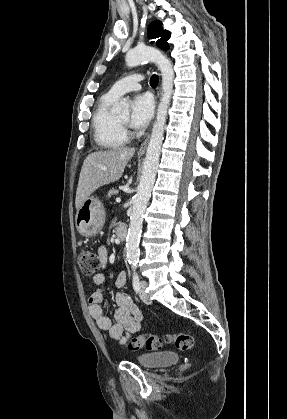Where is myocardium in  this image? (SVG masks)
Wrapping results in <instances>:
<instances>
[{"label": "myocardium", "instance_id": "obj_1", "mask_svg": "<svg viewBox=\"0 0 287 419\" xmlns=\"http://www.w3.org/2000/svg\"><path fill=\"white\" fill-rule=\"evenodd\" d=\"M117 123L124 132V134H127V123L122 122L118 117H116Z\"/></svg>", "mask_w": 287, "mask_h": 419}]
</instances>
